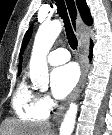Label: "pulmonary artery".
I'll return each mask as SVG.
<instances>
[{
    "label": "pulmonary artery",
    "instance_id": "1",
    "mask_svg": "<svg viewBox=\"0 0 112 135\" xmlns=\"http://www.w3.org/2000/svg\"><path fill=\"white\" fill-rule=\"evenodd\" d=\"M70 59L69 52L64 48H57L51 51L47 57L48 63L51 65H60Z\"/></svg>",
    "mask_w": 112,
    "mask_h": 135
}]
</instances>
